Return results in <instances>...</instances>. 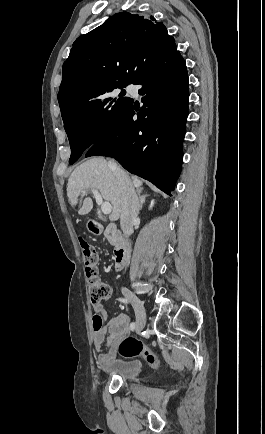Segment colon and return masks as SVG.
Here are the masks:
<instances>
[{
    "mask_svg": "<svg viewBox=\"0 0 265 434\" xmlns=\"http://www.w3.org/2000/svg\"><path fill=\"white\" fill-rule=\"evenodd\" d=\"M79 247L83 254L84 265L87 269L86 281L89 288V296L92 304L98 305L111 296V286L104 282L98 270L99 255L97 249L85 238H78ZM93 327H104L105 320L101 315H96L92 320ZM120 355L127 359L143 357L147 364L152 367H160L158 358L140 340L134 337L125 338L117 348Z\"/></svg>",
    "mask_w": 265,
    "mask_h": 434,
    "instance_id": "1",
    "label": "colon"
}]
</instances>
